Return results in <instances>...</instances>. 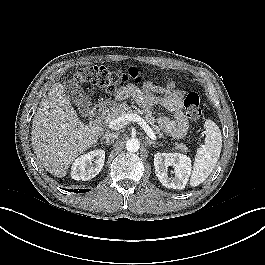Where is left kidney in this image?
<instances>
[{
	"instance_id": "1",
	"label": "left kidney",
	"mask_w": 265,
	"mask_h": 265,
	"mask_svg": "<svg viewBox=\"0 0 265 265\" xmlns=\"http://www.w3.org/2000/svg\"><path fill=\"white\" fill-rule=\"evenodd\" d=\"M174 167L175 177H169L167 170ZM155 174L167 188H185L191 173V159L180 153H156L154 155Z\"/></svg>"
}]
</instances>
